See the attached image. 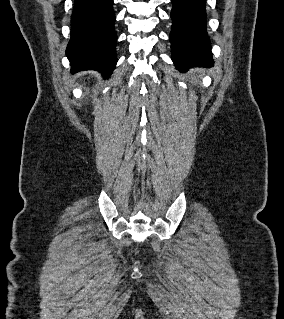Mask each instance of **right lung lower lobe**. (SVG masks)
<instances>
[{
	"label": "right lung lower lobe",
	"mask_w": 284,
	"mask_h": 319,
	"mask_svg": "<svg viewBox=\"0 0 284 319\" xmlns=\"http://www.w3.org/2000/svg\"><path fill=\"white\" fill-rule=\"evenodd\" d=\"M71 21V72L97 70L108 78L117 63L113 0H75Z\"/></svg>",
	"instance_id": "1"
}]
</instances>
